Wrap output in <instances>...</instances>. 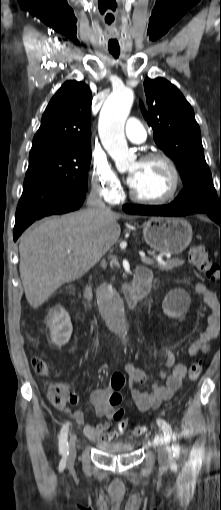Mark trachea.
I'll use <instances>...</instances> for the list:
<instances>
[{"label": "trachea", "instance_id": "1", "mask_svg": "<svg viewBox=\"0 0 221 510\" xmlns=\"http://www.w3.org/2000/svg\"><path fill=\"white\" fill-rule=\"evenodd\" d=\"M110 53L115 57V58H118L119 56V51H110Z\"/></svg>", "mask_w": 221, "mask_h": 510}]
</instances>
